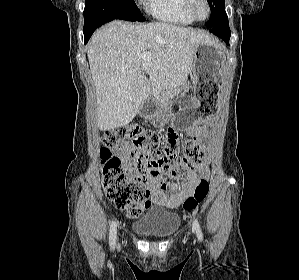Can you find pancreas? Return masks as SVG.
<instances>
[{"label": "pancreas", "mask_w": 299, "mask_h": 280, "mask_svg": "<svg viewBox=\"0 0 299 280\" xmlns=\"http://www.w3.org/2000/svg\"><path fill=\"white\" fill-rule=\"evenodd\" d=\"M169 93L166 94H162V95H157L153 100L157 103V104H162L164 103L168 98H169Z\"/></svg>", "instance_id": "cf45deb5"}]
</instances>
